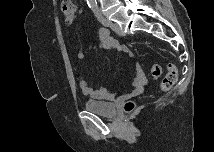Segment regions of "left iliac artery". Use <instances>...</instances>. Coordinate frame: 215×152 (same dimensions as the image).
Masks as SVG:
<instances>
[{
  "instance_id": "obj_1",
  "label": "left iliac artery",
  "mask_w": 215,
  "mask_h": 152,
  "mask_svg": "<svg viewBox=\"0 0 215 152\" xmlns=\"http://www.w3.org/2000/svg\"><path fill=\"white\" fill-rule=\"evenodd\" d=\"M93 12H94L95 16L97 17V19L101 22V24H103L106 27H109V25H110L109 20L105 19L102 16V13H101V11L98 8H94Z\"/></svg>"
}]
</instances>
